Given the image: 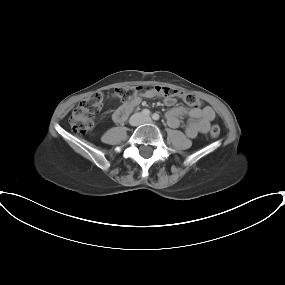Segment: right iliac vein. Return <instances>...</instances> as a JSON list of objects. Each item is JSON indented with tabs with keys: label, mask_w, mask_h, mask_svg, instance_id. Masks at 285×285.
Masks as SVG:
<instances>
[{
	"label": "right iliac vein",
	"mask_w": 285,
	"mask_h": 285,
	"mask_svg": "<svg viewBox=\"0 0 285 285\" xmlns=\"http://www.w3.org/2000/svg\"><path fill=\"white\" fill-rule=\"evenodd\" d=\"M141 119V115L137 114L132 118V121H139Z\"/></svg>",
	"instance_id": "63e3f726"
}]
</instances>
